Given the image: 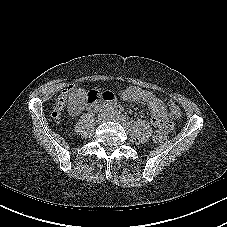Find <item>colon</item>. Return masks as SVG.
<instances>
[{
	"label": "colon",
	"mask_w": 227,
	"mask_h": 227,
	"mask_svg": "<svg viewBox=\"0 0 227 227\" xmlns=\"http://www.w3.org/2000/svg\"><path fill=\"white\" fill-rule=\"evenodd\" d=\"M72 90H73L72 87H67L56 98L52 108V117L54 118L55 121L61 120L62 113L65 109V106L67 104L68 98ZM168 111H169L170 118L173 120H177L181 116V109L174 101H169ZM153 139L156 143L165 142L167 139L166 130L164 129L156 130L154 133Z\"/></svg>",
	"instance_id": "obj_1"
}]
</instances>
